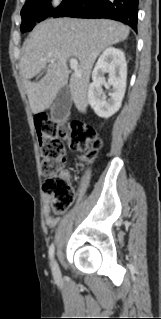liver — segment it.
I'll use <instances>...</instances> for the list:
<instances>
[{
	"mask_svg": "<svg viewBox=\"0 0 161 319\" xmlns=\"http://www.w3.org/2000/svg\"><path fill=\"white\" fill-rule=\"evenodd\" d=\"M129 27L106 19H48L38 24L24 43L20 61L29 104L34 114L46 110L55 100L61 88L67 85L68 58L79 61L71 75V97L80 112L88 106L87 89L90 74L98 55L107 47L124 41ZM54 59L51 63L49 60ZM44 75L36 82L35 77L47 66Z\"/></svg>",
	"mask_w": 161,
	"mask_h": 319,
	"instance_id": "1",
	"label": "liver"
}]
</instances>
